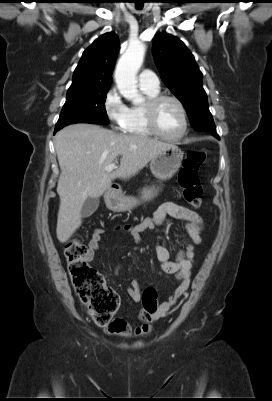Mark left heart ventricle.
<instances>
[{"instance_id":"1","label":"left heart ventricle","mask_w":272,"mask_h":401,"mask_svg":"<svg viewBox=\"0 0 272 401\" xmlns=\"http://www.w3.org/2000/svg\"><path fill=\"white\" fill-rule=\"evenodd\" d=\"M157 121L161 131L168 136H177L183 130L181 110L173 101L162 103L158 110Z\"/></svg>"}]
</instances>
